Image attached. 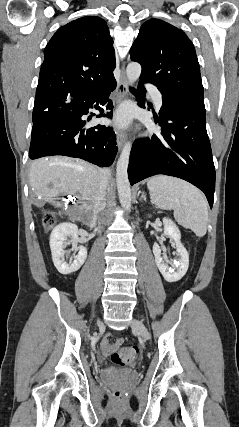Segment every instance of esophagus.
Masks as SVG:
<instances>
[{
    "instance_id": "34e87169",
    "label": "esophagus",
    "mask_w": 239,
    "mask_h": 427,
    "mask_svg": "<svg viewBox=\"0 0 239 427\" xmlns=\"http://www.w3.org/2000/svg\"><path fill=\"white\" fill-rule=\"evenodd\" d=\"M116 91H117L116 103L118 104L122 100H124L128 94V80L125 74L124 66L122 67L121 76L118 81ZM116 136H117L118 149L121 150L126 140L125 133L122 130H117Z\"/></svg>"
}]
</instances>
